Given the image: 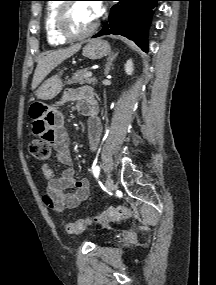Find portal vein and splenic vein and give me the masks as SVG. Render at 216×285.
<instances>
[{"label":"portal vein and splenic vein","instance_id":"portal-vein-and-splenic-vein-1","mask_svg":"<svg viewBox=\"0 0 216 285\" xmlns=\"http://www.w3.org/2000/svg\"><path fill=\"white\" fill-rule=\"evenodd\" d=\"M92 75H93V73L91 71H89L85 74V77H91Z\"/></svg>","mask_w":216,"mask_h":285}]
</instances>
